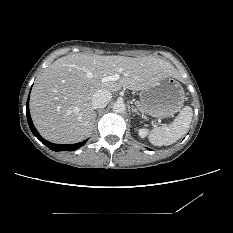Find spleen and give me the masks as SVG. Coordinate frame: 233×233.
<instances>
[{"instance_id": "1", "label": "spleen", "mask_w": 233, "mask_h": 233, "mask_svg": "<svg viewBox=\"0 0 233 233\" xmlns=\"http://www.w3.org/2000/svg\"><path fill=\"white\" fill-rule=\"evenodd\" d=\"M192 116V108L185 106L171 124L153 129L149 141L155 146H168L177 142L187 133Z\"/></svg>"}]
</instances>
